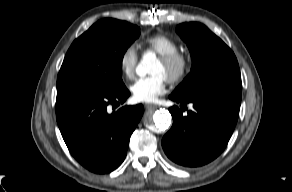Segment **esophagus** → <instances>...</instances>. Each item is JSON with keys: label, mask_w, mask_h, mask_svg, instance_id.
Instances as JSON below:
<instances>
[{"label": "esophagus", "mask_w": 292, "mask_h": 192, "mask_svg": "<svg viewBox=\"0 0 292 192\" xmlns=\"http://www.w3.org/2000/svg\"><path fill=\"white\" fill-rule=\"evenodd\" d=\"M144 106H145L146 109H155V108H157V106L154 105V104H145Z\"/></svg>", "instance_id": "1"}]
</instances>
